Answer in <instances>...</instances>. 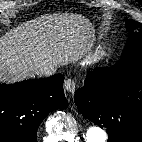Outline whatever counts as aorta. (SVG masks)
<instances>
[{
	"label": "aorta",
	"instance_id": "obj_1",
	"mask_svg": "<svg viewBox=\"0 0 142 142\" xmlns=\"http://www.w3.org/2000/svg\"><path fill=\"white\" fill-rule=\"evenodd\" d=\"M106 132L98 126H90L86 132V142H106Z\"/></svg>",
	"mask_w": 142,
	"mask_h": 142
}]
</instances>
